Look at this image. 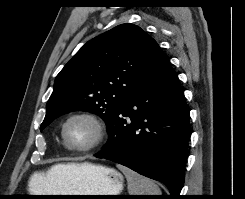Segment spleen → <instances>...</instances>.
I'll list each match as a JSON object with an SVG mask.
<instances>
[{"instance_id":"1","label":"spleen","mask_w":245,"mask_h":199,"mask_svg":"<svg viewBox=\"0 0 245 199\" xmlns=\"http://www.w3.org/2000/svg\"><path fill=\"white\" fill-rule=\"evenodd\" d=\"M117 168L127 179L129 195H161L160 188L153 180L141 176L125 166L117 165Z\"/></svg>"}]
</instances>
